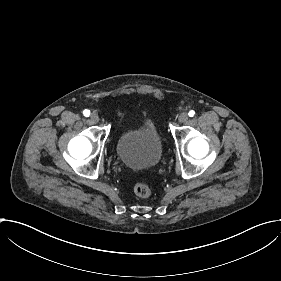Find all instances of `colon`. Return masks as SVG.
I'll list each match as a JSON object with an SVG mask.
<instances>
[{
    "mask_svg": "<svg viewBox=\"0 0 281 281\" xmlns=\"http://www.w3.org/2000/svg\"><path fill=\"white\" fill-rule=\"evenodd\" d=\"M131 192L136 198H147L152 193V186L146 181H135L131 185Z\"/></svg>",
    "mask_w": 281,
    "mask_h": 281,
    "instance_id": "5ec220e1",
    "label": "colon"
}]
</instances>
